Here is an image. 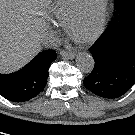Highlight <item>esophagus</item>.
Returning a JSON list of instances; mask_svg holds the SVG:
<instances>
[{
  "mask_svg": "<svg viewBox=\"0 0 135 135\" xmlns=\"http://www.w3.org/2000/svg\"><path fill=\"white\" fill-rule=\"evenodd\" d=\"M63 58L65 59H74L76 54L74 52H68V51H60L59 53Z\"/></svg>",
  "mask_w": 135,
  "mask_h": 135,
  "instance_id": "esophagus-1",
  "label": "esophagus"
}]
</instances>
